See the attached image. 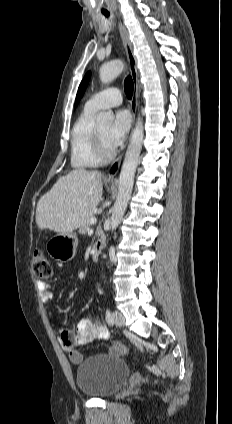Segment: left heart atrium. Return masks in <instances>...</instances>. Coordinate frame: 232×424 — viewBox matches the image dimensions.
Returning <instances> with one entry per match:
<instances>
[{
  "label": "left heart atrium",
  "instance_id": "39dd6f15",
  "mask_svg": "<svg viewBox=\"0 0 232 424\" xmlns=\"http://www.w3.org/2000/svg\"><path fill=\"white\" fill-rule=\"evenodd\" d=\"M130 127V114L125 110L118 111L108 133V142L112 148H116L125 140Z\"/></svg>",
  "mask_w": 232,
  "mask_h": 424
}]
</instances>
